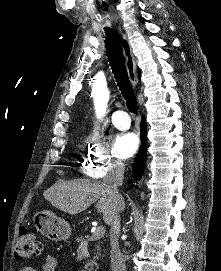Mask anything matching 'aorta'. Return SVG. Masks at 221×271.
<instances>
[{"label":"aorta","instance_id":"762f6f07","mask_svg":"<svg viewBox=\"0 0 221 271\" xmlns=\"http://www.w3.org/2000/svg\"><path fill=\"white\" fill-rule=\"evenodd\" d=\"M108 100H109V95L107 93L100 94L97 96L95 100V104H96V112H97L98 117H101L105 114Z\"/></svg>","mask_w":221,"mask_h":271}]
</instances>
